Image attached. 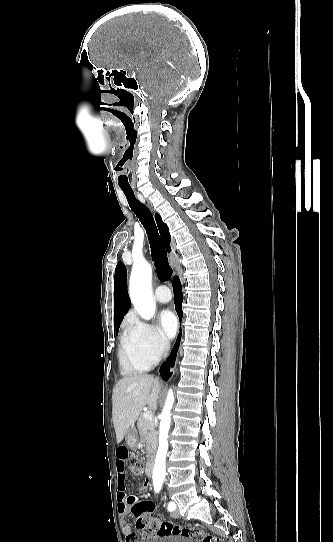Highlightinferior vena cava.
Listing matches in <instances>:
<instances>
[{
    "instance_id": "inferior-vena-cava-1",
    "label": "inferior vena cava",
    "mask_w": 333,
    "mask_h": 542,
    "mask_svg": "<svg viewBox=\"0 0 333 542\" xmlns=\"http://www.w3.org/2000/svg\"><path fill=\"white\" fill-rule=\"evenodd\" d=\"M164 348H165V350H167V348H169L168 340H164Z\"/></svg>"
}]
</instances>
